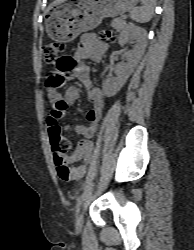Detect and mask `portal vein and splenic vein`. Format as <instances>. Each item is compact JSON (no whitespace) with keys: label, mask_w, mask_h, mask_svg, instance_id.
I'll return each instance as SVG.
<instances>
[{"label":"portal vein and splenic vein","mask_w":194,"mask_h":250,"mask_svg":"<svg viewBox=\"0 0 194 250\" xmlns=\"http://www.w3.org/2000/svg\"><path fill=\"white\" fill-rule=\"evenodd\" d=\"M123 18H126V16L124 15V16H122Z\"/></svg>","instance_id":"1"}]
</instances>
